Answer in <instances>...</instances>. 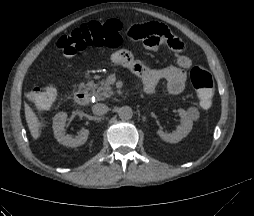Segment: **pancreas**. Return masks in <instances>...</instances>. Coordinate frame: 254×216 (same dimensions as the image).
<instances>
[{"label": "pancreas", "mask_w": 254, "mask_h": 216, "mask_svg": "<svg viewBox=\"0 0 254 216\" xmlns=\"http://www.w3.org/2000/svg\"><path fill=\"white\" fill-rule=\"evenodd\" d=\"M87 87L92 91V94L98 101L104 100L113 94L111 87L105 80H102L98 84L90 81L87 83Z\"/></svg>", "instance_id": "1"}]
</instances>
